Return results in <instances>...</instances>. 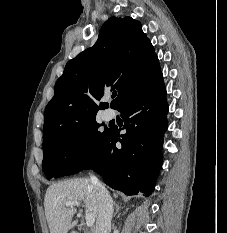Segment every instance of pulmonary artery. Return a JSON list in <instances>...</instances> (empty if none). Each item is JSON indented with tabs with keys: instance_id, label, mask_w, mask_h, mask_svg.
<instances>
[{
	"instance_id": "pulmonary-artery-1",
	"label": "pulmonary artery",
	"mask_w": 227,
	"mask_h": 233,
	"mask_svg": "<svg viewBox=\"0 0 227 233\" xmlns=\"http://www.w3.org/2000/svg\"><path fill=\"white\" fill-rule=\"evenodd\" d=\"M112 116H113V114H112V112H110V111L106 112V114H105V118H106L107 120H110V119L112 118Z\"/></svg>"
}]
</instances>
